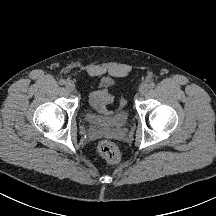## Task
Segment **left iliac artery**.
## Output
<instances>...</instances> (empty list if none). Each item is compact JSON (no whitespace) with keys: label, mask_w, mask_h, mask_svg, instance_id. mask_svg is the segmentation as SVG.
<instances>
[{"label":"left iliac artery","mask_w":216,"mask_h":216,"mask_svg":"<svg viewBox=\"0 0 216 216\" xmlns=\"http://www.w3.org/2000/svg\"><path fill=\"white\" fill-rule=\"evenodd\" d=\"M149 87H150V88H154V87H155V83H154V82H151V83L149 84Z\"/></svg>","instance_id":"obj_1"}]
</instances>
